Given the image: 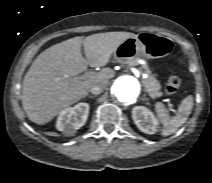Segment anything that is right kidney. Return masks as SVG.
<instances>
[{
    "label": "right kidney",
    "instance_id": "obj_1",
    "mask_svg": "<svg viewBox=\"0 0 212 183\" xmlns=\"http://www.w3.org/2000/svg\"><path fill=\"white\" fill-rule=\"evenodd\" d=\"M89 108L88 103H78L74 107L64 109L57 118L56 128L66 135H73L85 124Z\"/></svg>",
    "mask_w": 212,
    "mask_h": 183
}]
</instances>
